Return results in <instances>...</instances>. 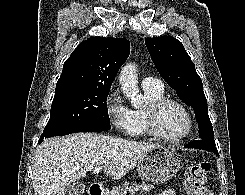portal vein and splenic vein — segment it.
Returning a JSON list of instances; mask_svg holds the SVG:
<instances>
[{
  "label": "portal vein and splenic vein",
  "mask_w": 245,
  "mask_h": 195,
  "mask_svg": "<svg viewBox=\"0 0 245 195\" xmlns=\"http://www.w3.org/2000/svg\"><path fill=\"white\" fill-rule=\"evenodd\" d=\"M101 169H102V166H98V167H96V168L93 170V173H94V174H97V173L100 172Z\"/></svg>",
  "instance_id": "obj_1"
}]
</instances>
